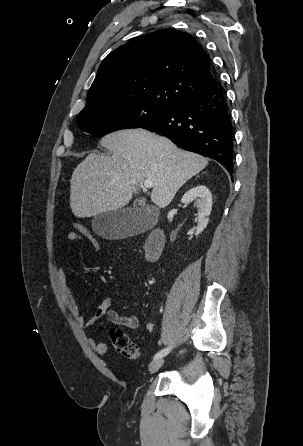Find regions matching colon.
I'll return each mask as SVG.
<instances>
[{"instance_id": "obj_1", "label": "colon", "mask_w": 303, "mask_h": 446, "mask_svg": "<svg viewBox=\"0 0 303 446\" xmlns=\"http://www.w3.org/2000/svg\"><path fill=\"white\" fill-rule=\"evenodd\" d=\"M74 232L80 236L91 239L95 251L100 249L99 242L93 238L88 230L79 222L73 224ZM110 342L112 346L125 358L129 360H137L140 356V349L137 344L132 342L122 329L111 328L109 331Z\"/></svg>"}]
</instances>
